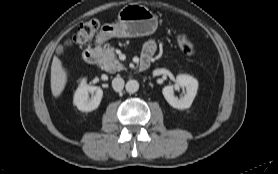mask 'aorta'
Here are the masks:
<instances>
[{
  "mask_svg": "<svg viewBox=\"0 0 278 174\" xmlns=\"http://www.w3.org/2000/svg\"><path fill=\"white\" fill-rule=\"evenodd\" d=\"M138 89H139V83H138L137 80H132L131 79V80L127 81V83H126V91L128 93H135V92L138 91Z\"/></svg>",
  "mask_w": 278,
  "mask_h": 174,
  "instance_id": "1",
  "label": "aorta"
}]
</instances>
